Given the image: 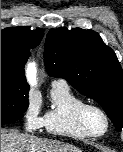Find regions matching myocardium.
Listing matches in <instances>:
<instances>
[{
	"label": "myocardium",
	"mask_w": 123,
	"mask_h": 152,
	"mask_svg": "<svg viewBox=\"0 0 123 152\" xmlns=\"http://www.w3.org/2000/svg\"><path fill=\"white\" fill-rule=\"evenodd\" d=\"M89 110L97 111L104 118L105 129H104L103 132L94 133L88 128V126L86 124V121H85V117H86V114ZM75 121H76V124L79 127V129L81 131H83L89 137H95V138L101 137L108 132L109 127H110V119H109L107 113L100 106L95 105V104H91V103H82L81 105H79L76 108V110H75Z\"/></svg>",
	"instance_id": "1"
}]
</instances>
